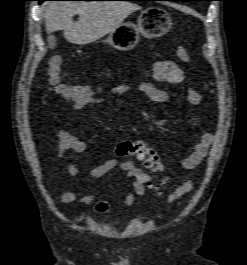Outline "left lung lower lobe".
<instances>
[{
  "label": "left lung lower lobe",
  "instance_id": "obj_1",
  "mask_svg": "<svg viewBox=\"0 0 247 265\" xmlns=\"http://www.w3.org/2000/svg\"><path fill=\"white\" fill-rule=\"evenodd\" d=\"M167 1H200V0H167Z\"/></svg>",
  "mask_w": 247,
  "mask_h": 265
}]
</instances>
